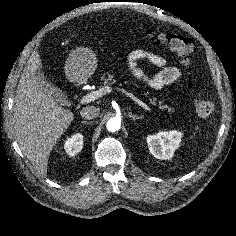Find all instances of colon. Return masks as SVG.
I'll return each mask as SVG.
<instances>
[{
  "label": "colon",
  "instance_id": "5ec220e1",
  "mask_svg": "<svg viewBox=\"0 0 236 236\" xmlns=\"http://www.w3.org/2000/svg\"><path fill=\"white\" fill-rule=\"evenodd\" d=\"M143 35L155 43L169 48L176 52L183 59V64L189 66L196 58V49L194 42L182 35L176 33L159 32L150 28L142 29ZM187 88L190 91L194 90V83L192 81L187 83ZM196 113L201 118H209L214 111V105L199 96L193 98Z\"/></svg>",
  "mask_w": 236,
  "mask_h": 236
}]
</instances>
